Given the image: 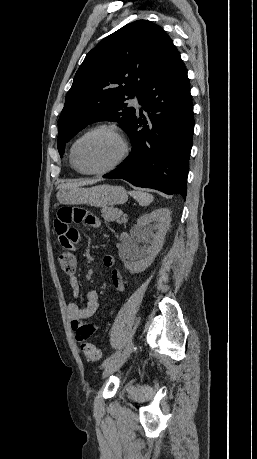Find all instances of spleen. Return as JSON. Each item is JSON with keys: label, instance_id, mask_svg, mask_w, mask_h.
I'll return each mask as SVG.
<instances>
[{"label": "spleen", "instance_id": "obj_1", "mask_svg": "<svg viewBox=\"0 0 257 459\" xmlns=\"http://www.w3.org/2000/svg\"><path fill=\"white\" fill-rule=\"evenodd\" d=\"M130 195L142 206H148L154 199L151 194L143 191H131Z\"/></svg>", "mask_w": 257, "mask_h": 459}]
</instances>
